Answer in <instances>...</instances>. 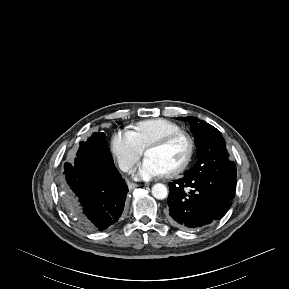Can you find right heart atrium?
I'll return each instance as SVG.
<instances>
[{
    "label": "right heart atrium",
    "instance_id": "d8ad5b80",
    "mask_svg": "<svg viewBox=\"0 0 289 289\" xmlns=\"http://www.w3.org/2000/svg\"><path fill=\"white\" fill-rule=\"evenodd\" d=\"M111 151L120 168L130 172L143 154V148L132 130L124 129L115 132L111 138Z\"/></svg>",
    "mask_w": 289,
    "mask_h": 289
}]
</instances>
